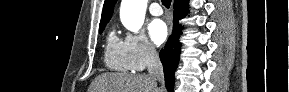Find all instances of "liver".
I'll list each match as a JSON object with an SVG mask.
<instances>
[{"mask_svg": "<svg viewBox=\"0 0 289 92\" xmlns=\"http://www.w3.org/2000/svg\"><path fill=\"white\" fill-rule=\"evenodd\" d=\"M89 92H162L149 75L103 73L92 82Z\"/></svg>", "mask_w": 289, "mask_h": 92, "instance_id": "6515ba94", "label": "liver"}]
</instances>
